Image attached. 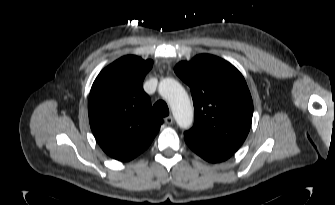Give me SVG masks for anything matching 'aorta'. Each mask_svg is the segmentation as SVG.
Masks as SVG:
<instances>
[{"label": "aorta", "mask_w": 335, "mask_h": 205, "mask_svg": "<svg viewBox=\"0 0 335 205\" xmlns=\"http://www.w3.org/2000/svg\"><path fill=\"white\" fill-rule=\"evenodd\" d=\"M158 90L169 103L179 127L189 128L193 122L194 112L189 96L181 84L172 78H165L160 81Z\"/></svg>", "instance_id": "762f6f07"}]
</instances>
